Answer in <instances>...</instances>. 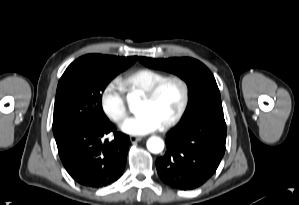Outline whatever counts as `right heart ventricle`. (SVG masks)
<instances>
[{
    "mask_svg": "<svg viewBox=\"0 0 299 205\" xmlns=\"http://www.w3.org/2000/svg\"><path fill=\"white\" fill-rule=\"evenodd\" d=\"M165 77L167 75L160 71L151 68H139L125 74L117 81L119 86L128 93L141 95Z\"/></svg>",
    "mask_w": 299,
    "mask_h": 205,
    "instance_id": "1",
    "label": "right heart ventricle"
}]
</instances>
